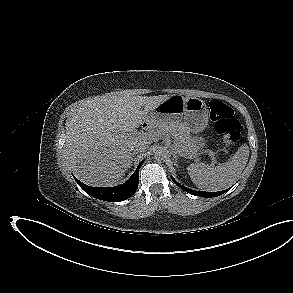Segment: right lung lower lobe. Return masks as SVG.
<instances>
[{"mask_svg":"<svg viewBox=\"0 0 293 293\" xmlns=\"http://www.w3.org/2000/svg\"><path fill=\"white\" fill-rule=\"evenodd\" d=\"M142 163L143 162H140L136 171L132 174L127 182L115 187H90L80 182L77 178H74L78 185L89 195L104 201L119 202L131 197L137 190L139 181V168L141 167Z\"/></svg>","mask_w":293,"mask_h":293,"instance_id":"right-lung-lower-lobe-1","label":"right lung lower lobe"}]
</instances>
